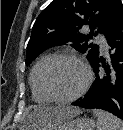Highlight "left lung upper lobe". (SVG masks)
<instances>
[{
	"mask_svg": "<svg viewBox=\"0 0 123 130\" xmlns=\"http://www.w3.org/2000/svg\"><path fill=\"white\" fill-rule=\"evenodd\" d=\"M122 14L120 0H53L34 23L27 45L26 65L44 49L68 43L77 51L87 53L91 63L99 55V47L88 41L98 33L109 36ZM85 25L90 27L88 35L80 31Z\"/></svg>",
	"mask_w": 123,
	"mask_h": 130,
	"instance_id": "left-lung-upper-lobe-1",
	"label": "left lung upper lobe"
}]
</instances>
